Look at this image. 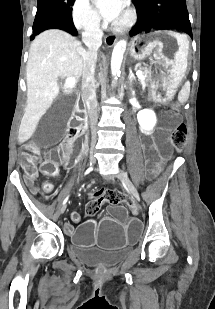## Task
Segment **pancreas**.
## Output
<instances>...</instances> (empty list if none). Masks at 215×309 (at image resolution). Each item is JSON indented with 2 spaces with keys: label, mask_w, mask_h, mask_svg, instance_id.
Here are the masks:
<instances>
[{
  "label": "pancreas",
  "mask_w": 215,
  "mask_h": 309,
  "mask_svg": "<svg viewBox=\"0 0 215 309\" xmlns=\"http://www.w3.org/2000/svg\"><path fill=\"white\" fill-rule=\"evenodd\" d=\"M148 74H149L148 70H144L143 76H145V78H144V80H140L143 88H144V86H147V84L149 82Z\"/></svg>",
  "instance_id": "pancreas-1"
}]
</instances>
